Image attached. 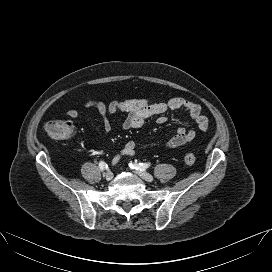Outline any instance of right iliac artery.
<instances>
[{
	"label": "right iliac artery",
	"instance_id": "1",
	"mask_svg": "<svg viewBox=\"0 0 272 272\" xmlns=\"http://www.w3.org/2000/svg\"><path fill=\"white\" fill-rule=\"evenodd\" d=\"M107 164L104 161H100L99 163V168L101 171H103L104 169H106Z\"/></svg>",
	"mask_w": 272,
	"mask_h": 272
}]
</instances>
